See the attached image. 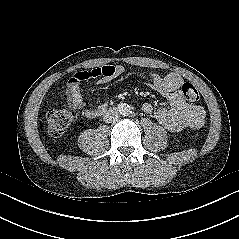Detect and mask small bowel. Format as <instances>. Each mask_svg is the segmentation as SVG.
<instances>
[{"mask_svg": "<svg viewBox=\"0 0 239 239\" xmlns=\"http://www.w3.org/2000/svg\"><path fill=\"white\" fill-rule=\"evenodd\" d=\"M125 69L122 65H104L97 69L81 70L74 73L68 80L67 100L75 109L85 108L80 86L83 82L95 79L99 85L107 84L120 78ZM183 79L179 74L169 73L160 75L150 73L148 85L154 91L164 95L170 104V108L156 109L150 103L142 105V111L153 115L155 119L167 130L171 132H181L183 130H194L200 128L205 122V110L200 105L190 104L186 101L181 86ZM107 108V101L103 102L96 109L85 110V115L89 118L102 114Z\"/></svg>", "mask_w": 239, "mask_h": 239, "instance_id": "1", "label": "small bowel"}]
</instances>
